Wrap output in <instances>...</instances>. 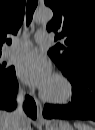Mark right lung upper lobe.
<instances>
[{
	"label": "right lung upper lobe",
	"mask_w": 95,
	"mask_h": 130,
	"mask_svg": "<svg viewBox=\"0 0 95 130\" xmlns=\"http://www.w3.org/2000/svg\"><path fill=\"white\" fill-rule=\"evenodd\" d=\"M25 0H0V54L7 35L16 34L24 18Z\"/></svg>",
	"instance_id": "right-lung-upper-lobe-1"
}]
</instances>
